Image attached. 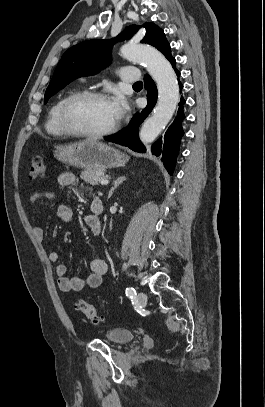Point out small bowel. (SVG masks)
<instances>
[{
    "instance_id": "small-bowel-1",
    "label": "small bowel",
    "mask_w": 265,
    "mask_h": 407,
    "mask_svg": "<svg viewBox=\"0 0 265 407\" xmlns=\"http://www.w3.org/2000/svg\"><path fill=\"white\" fill-rule=\"evenodd\" d=\"M77 181L76 176L71 172H64L58 176L57 183L61 190H64ZM56 195L46 191H35L29 197V204H35L41 200H54ZM57 216L63 222H69L72 220L73 212L69 205L62 202L57 207ZM86 222L91 228L92 232L98 234L100 232V221L98 217L91 211L86 217ZM33 232L35 237L44 242L45 233L42 227L35 223L33 226ZM49 259L55 264V270L57 273V284L61 291H81L85 287L96 288L102 283L103 276L107 271L106 262L100 258H91L88 260L89 273L86 276H68V269L64 262L61 260V254L58 251H52L49 254Z\"/></svg>"
}]
</instances>
